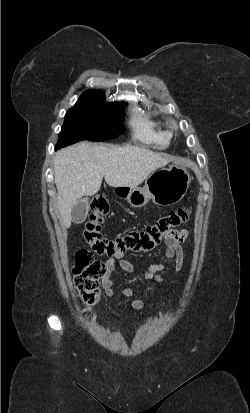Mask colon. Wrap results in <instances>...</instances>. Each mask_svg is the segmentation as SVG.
<instances>
[{"mask_svg": "<svg viewBox=\"0 0 250 413\" xmlns=\"http://www.w3.org/2000/svg\"><path fill=\"white\" fill-rule=\"evenodd\" d=\"M109 212V204L104 196H97L91 202V214L84 231V239L92 251L98 255L114 256L127 251L148 252L163 238L166 229H173L185 223L189 211L179 208L159 218L143 230L131 231L115 239L102 236V222ZM105 273L103 263L92 258V253L80 251L75 257L73 275L77 290L84 302L94 305L99 299V279Z\"/></svg>", "mask_w": 250, "mask_h": 413, "instance_id": "obj_1", "label": "colon"}]
</instances>
